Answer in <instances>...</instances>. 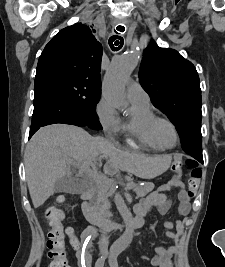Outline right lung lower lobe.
Returning <instances> with one entry per match:
<instances>
[{
  "label": "right lung lower lobe",
  "instance_id": "right-lung-lower-lobe-1",
  "mask_svg": "<svg viewBox=\"0 0 225 267\" xmlns=\"http://www.w3.org/2000/svg\"><path fill=\"white\" fill-rule=\"evenodd\" d=\"M34 93V111L29 139L40 127L50 124L88 126L83 117L49 84L35 80Z\"/></svg>",
  "mask_w": 225,
  "mask_h": 267
}]
</instances>
